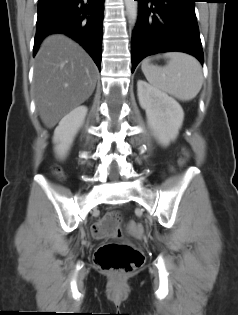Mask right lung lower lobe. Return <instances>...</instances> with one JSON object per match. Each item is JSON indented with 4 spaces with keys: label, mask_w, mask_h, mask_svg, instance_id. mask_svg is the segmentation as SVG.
<instances>
[{
    "label": "right lung lower lobe",
    "mask_w": 238,
    "mask_h": 315,
    "mask_svg": "<svg viewBox=\"0 0 238 315\" xmlns=\"http://www.w3.org/2000/svg\"><path fill=\"white\" fill-rule=\"evenodd\" d=\"M104 0H38L33 55L49 34L64 33L80 43L100 70Z\"/></svg>",
    "instance_id": "right-lung-lower-lobe-1"
}]
</instances>
